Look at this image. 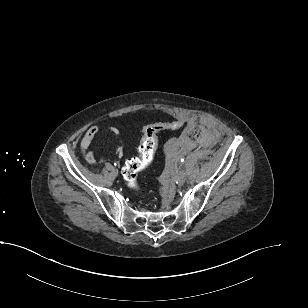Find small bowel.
I'll return each instance as SVG.
<instances>
[{
	"label": "small bowel",
	"mask_w": 308,
	"mask_h": 308,
	"mask_svg": "<svg viewBox=\"0 0 308 308\" xmlns=\"http://www.w3.org/2000/svg\"><path fill=\"white\" fill-rule=\"evenodd\" d=\"M110 131L114 134H117L118 131L116 128L111 127ZM100 129L98 126H92L90 127L85 134L83 135L81 142H80V151L81 154L83 155L85 161L89 164V165H94L96 162L95 159V155L94 152L90 149L91 144L93 142V140L97 137V135L99 134ZM116 154L117 156H121L122 155V149L118 148L116 150Z\"/></svg>",
	"instance_id": "1"
}]
</instances>
